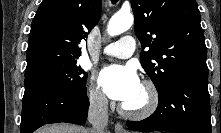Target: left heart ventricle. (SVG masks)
Wrapping results in <instances>:
<instances>
[{
	"mask_svg": "<svg viewBox=\"0 0 221 133\" xmlns=\"http://www.w3.org/2000/svg\"><path fill=\"white\" fill-rule=\"evenodd\" d=\"M146 97V92L143 87H141L138 94L131 101L125 103V105L129 108L141 107L146 102Z\"/></svg>",
	"mask_w": 221,
	"mask_h": 133,
	"instance_id": "b2bd125f",
	"label": "left heart ventricle"
}]
</instances>
